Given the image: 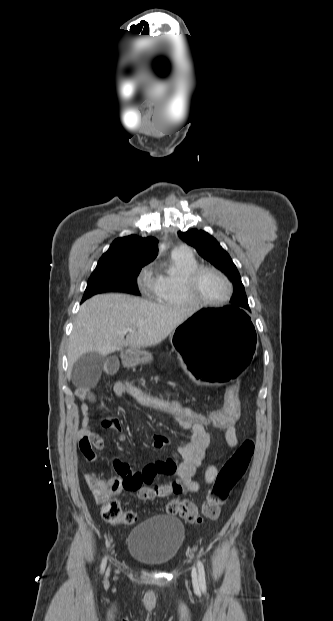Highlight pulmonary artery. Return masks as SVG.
I'll use <instances>...</instances> for the list:
<instances>
[{
  "label": "pulmonary artery",
  "instance_id": "obj_1",
  "mask_svg": "<svg viewBox=\"0 0 333 621\" xmlns=\"http://www.w3.org/2000/svg\"><path fill=\"white\" fill-rule=\"evenodd\" d=\"M174 252L182 253V254H191L190 249L187 246H184V245L175 248Z\"/></svg>",
  "mask_w": 333,
  "mask_h": 621
}]
</instances>
